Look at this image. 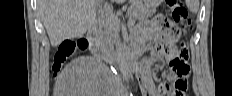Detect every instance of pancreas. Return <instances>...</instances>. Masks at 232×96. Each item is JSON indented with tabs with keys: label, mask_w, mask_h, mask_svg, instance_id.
Instances as JSON below:
<instances>
[{
	"label": "pancreas",
	"mask_w": 232,
	"mask_h": 96,
	"mask_svg": "<svg viewBox=\"0 0 232 96\" xmlns=\"http://www.w3.org/2000/svg\"><path fill=\"white\" fill-rule=\"evenodd\" d=\"M155 12V8L143 6V5H132L127 10V17L133 18L134 20H140L146 17H150ZM103 30L97 40L99 47L105 50L112 51L114 45L120 43V20L118 16L110 18L105 16L102 20Z\"/></svg>",
	"instance_id": "1"
}]
</instances>
